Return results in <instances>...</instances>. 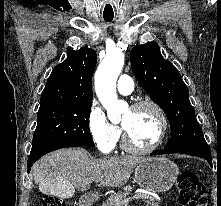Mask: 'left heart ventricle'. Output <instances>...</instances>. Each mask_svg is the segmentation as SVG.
<instances>
[{
    "label": "left heart ventricle",
    "instance_id": "b2bd125f",
    "mask_svg": "<svg viewBox=\"0 0 221 206\" xmlns=\"http://www.w3.org/2000/svg\"><path fill=\"white\" fill-rule=\"evenodd\" d=\"M121 125L137 147L150 146L158 137L160 120L148 106L136 110L128 109L122 116Z\"/></svg>",
    "mask_w": 221,
    "mask_h": 206
}]
</instances>
